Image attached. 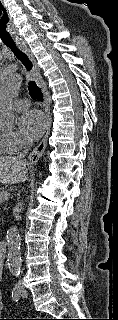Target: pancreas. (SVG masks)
Here are the masks:
<instances>
[{"instance_id": "1", "label": "pancreas", "mask_w": 118, "mask_h": 320, "mask_svg": "<svg viewBox=\"0 0 118 320\" xmlns=\"http://www.w3.org/2000/svg\"><path fill=\"white\" fill-rule=\"evenodd\" d=\"M3 191V188H0V192H2Z\"/></svg>"}]
</instances>
